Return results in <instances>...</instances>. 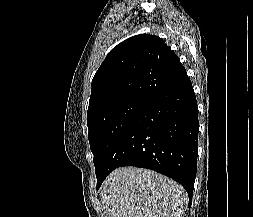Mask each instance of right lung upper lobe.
I'll return each instance as SVG.
<instances>
[{
  "label": "right lung upper lobe",
  "instance_id": "1",
  "mask_svg": "<svg viewBox=\"0 0 253 217\" xmlns=\"http://www.w3.org/2000/svg\"><path fill=\"white\" fill-rule=\"evenodd\" d=\"M183 71L177 55L160 37L147 34L130 37L109 52L96 72L87 118L125 98L151 99Z\"/></svg>",
  "mask_w": 253,
  "mask_h": 217
}]
</instances>
